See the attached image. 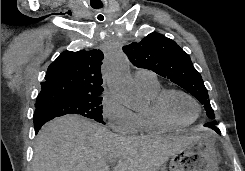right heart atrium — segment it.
I'll return each instance as SVG.
<instances>
[{"label":"right heart atrium","mask_w":245,"mask_h":171,"mask_svg":"<svg viewBox=\"0 0 245 171\" xmlns=\"http://www.w3.org/2000/svg\"><path fill=\"white\" fill-rule=\"evenodd\" d=\"M102 116L109 128L122 135H132L138 131L135 112L123 106L111 93L107 92L102 101Z\"/></svg>","instance_id":"obj_1"}]
</instances>
